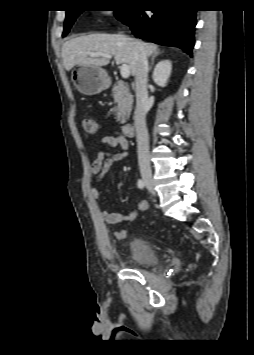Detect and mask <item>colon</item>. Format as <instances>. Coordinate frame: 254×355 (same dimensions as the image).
Listing matches in <instances>:
<instances>
[{
  "mask_svg": "<svg viewBox=\"0 0 254 355\" xmlns=\"http://www.w3.org/2000/svg\"><path fill=\"white\" fill-rule=\"evenodd\" d=\"M82 127L84 132L89 135H94L98 131L97 122L89 117H86L82 120Z\"/></svg>",
  "mask_w": 254,
  "mask_h": 355,
  "instance_id": "5ec220e1",
  "label": "colon"
}]
</instances>
